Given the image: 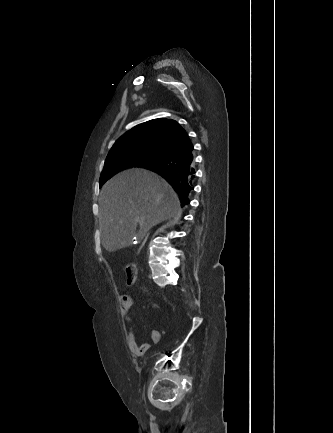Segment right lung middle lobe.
<instances>
[{
  "label": "right lung middle lobe",
  "mask_w": 333,
  "mask_h": 433,
  "mask_svg": "<svg viewBox=\"0 0 333 433\" xmlns=\"http://www.w3.org/2000/svg\"><path fill=\"white\" fill-rule=\"evenodd\" d=\"M169 153L161 148L149 147H121L109 152L103 171L100 176V187L119 171L134 167H146L152 165Z\"/></svg>",
  "instance_id": "obj_1"
}]
</instances>
